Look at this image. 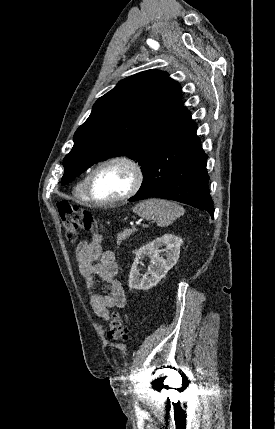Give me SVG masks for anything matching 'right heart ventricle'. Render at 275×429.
Wrapping results in <instances>:
<instances>
[{"label": "right heart ventricle", "instance_id": "obj_1", "mask_svg": "<svg viewBox=\"0 0 275 429\" xmlns=\"http://www.w3.org/2000/svg\"><path fill=\"white\" fill-rule=\"evenodd\" d=\"M88 174L89 173H86L74 188L75 196L81 201H88L85 190Z\"/></svg>", "mask_w": 275, "mask_h": 429}]
</instances>
